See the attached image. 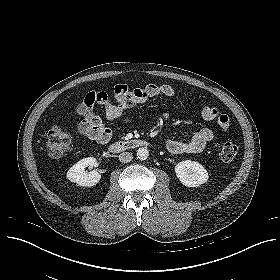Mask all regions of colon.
Masks as SVG:
<instances>
[{
  "instance_id": "1",
  "label": "colon",
  "mask_w": 280,
  "mask_h": 280,
  "mask_svg": "<svg viewBox=\"0 0 280 280\" xmlns=\"http://www.w3.org/2000/svg\"><path fill=\"white\" fill-rule=\"evenodd\" d=\"M205 117L208 119H216L217 124L222 129H227L230 125L229 117L226 114H221L216 108L211 109ZM108 135V131H102L100 129H92L90 131V136L95 139L107 140ZM70 141V135L61 127L54 126L50 128L47 133L46 143L48 155L53 159L62 157L69 151ZM237 150L238 148L234 143H225L221 149L222 160L225 162L232 161L237 155Z\"/></svg>"
}]
</instances>
